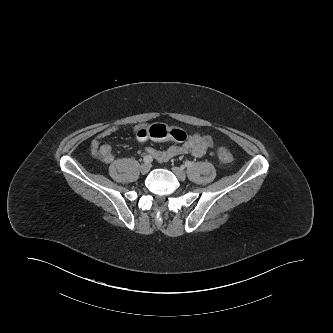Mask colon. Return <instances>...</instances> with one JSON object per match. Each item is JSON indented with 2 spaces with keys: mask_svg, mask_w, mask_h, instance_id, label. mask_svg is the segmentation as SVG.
<instances>
[{
  "mask_svg": "<svg viewBox=\"0 0 333 333\" xmlns=\"http://www.w3.org/2000/svg\"><path fill=\"white\" fill-rule=\"evenodd\" d=\"M136 135L140 140L154 139V140H164L172 139L175 141L182 142L186 139V133L176 127H169L164 124H153L148 127H142L137 132ZM218 159L224 164H229L233 162L234 156L232 152L226 148L221 147L218 150Z\"/></svg>",
  "mask_w": 333,
  "mask_h": 333,
  "instance_id": "colon-1",
  "label": "colon"
}]
</instances>
